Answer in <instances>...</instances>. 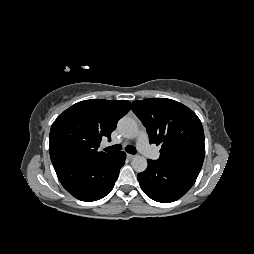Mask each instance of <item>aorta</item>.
Returning a JSON list of instances; mask_svg holds the SVG:
<instances>
[{
  "label": "aorta",
  "instance_id": "aorta-1",
  "mask_svg": "<svg viewBox=\"0 0 254 254\" xmlns=\"http://www.w3.org/2000/svg\"><path fill=\"white\" fill-rule=\"evenodd\" d=\"M121 134L126 138H134L138 132V125L136 121L130 117H123L119 120L117 125ZM132 168L140 173L146 170L147 160L144 156L135 155L131 162Z\"/></svg>",
  "mask_w": 254,
  "mask_h": 254
}]
</instances>
